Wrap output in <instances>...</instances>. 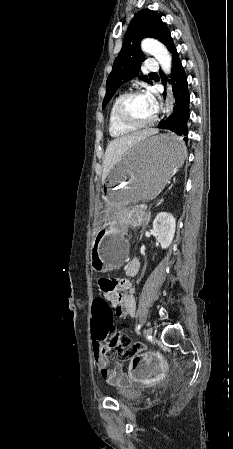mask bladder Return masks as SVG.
Instances as JSON below:
<instances>
[{
	"label": "bladder",
	"mask_w": 233,
	"mask_h": 449,
	"mask_svg": "<svg viewBox=\"0 0 233 449\" xmlns=\"http://www.w3.org/2000/svg\"><path fill=\"white\" fill-rule=\"evenodd\" d=\"M141 399L138 392L131 387H122L119 389V400L124 403L135 402Z\"/></svg>",
	"instance_id": "1"
}]
</instances>
